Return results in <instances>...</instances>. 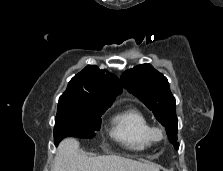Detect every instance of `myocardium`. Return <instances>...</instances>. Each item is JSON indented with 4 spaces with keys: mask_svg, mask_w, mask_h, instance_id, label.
<instances>
[{
    "mask_svg": "<svg viewBox=\"0 0 223 171\" xmlns=\"http://www.w3.org/2000/svg\"><path fill=\"white\" fill-rule=\"evenodd\" d=\"M149 136L152 142H161L165 138V132L161 127L151 126Z\"/></svg>",
    "mask_w": 223,
    "mask_h": 171,
    "instance_id": "1",
    "label": "myocardium"
}]
</instances>
